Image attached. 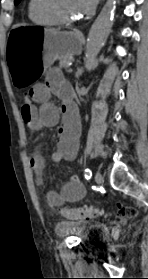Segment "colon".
Masks as SVG:
<instances>
[{
  "label": "colon",
  "mask_w": 148,
  "mask_h": 279,
  "mask_svg": "<svg viewBox=\"0 0 148 279\" xmlns=\"http://www.w3.org/2000/svg\"><path fill=\"white\" fill-rule=\"evenodd\" d=\"M23 100L25 105H30L32 102L30 91L24 94ZM60 214L68 219L80 220L101 216L103 211L93 207H78L64 208L60 211ZM119 214L122 218H133L137 215V210L133 207L121 205L119 206Z\"/></svg>",
  "instance_id": "1"
}]
</instances>
